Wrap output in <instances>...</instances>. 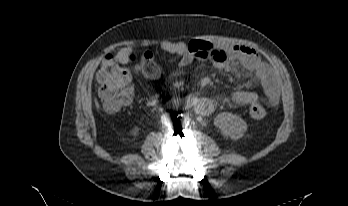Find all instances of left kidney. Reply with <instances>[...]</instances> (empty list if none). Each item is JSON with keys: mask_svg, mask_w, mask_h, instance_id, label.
Segmentation results:
<instances>
[{"mask_svg": "<svg viewBox=\"0 0 348 206\" xmlns=\"http://www.w3.org/2000/svg\"><path fill=\"white\" fill-rule=\"evenodd\" d=\"M214 125L218 127L223 136L231 139H239L247 130L246 122L239 116L222 112L214 119Z\"/></svg>", "mask_w": 348, "mask_h": 206, "instance_id": "left-kidney-1", "label": "left kidney"}]
</instances>
